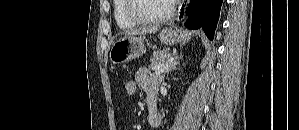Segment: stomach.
<instances>
[{
  "label": "stomach",
  "instance_id": "0dacf381",
  "mask_svg": "<svg viewBox=\"0 0 299 130\" xmlns=\"http://www.w3.org/2000/svg\"><path fill=\"white\" fill-rule=\"evenodd\" d=\"M180 30L166 28L160 32L161 42L172 45L182 39ZM145 50L144 40L137 36H124L116 40L111 46L109 58L113 64H122L129 60L140 57Z\"/></svg>",
  "mask_w": 299,
  "mask_h": 130
}]
</instances>
